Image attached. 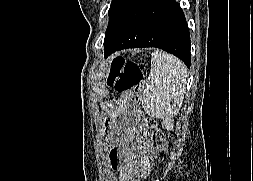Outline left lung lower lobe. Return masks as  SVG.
Segmentation results:
<instances>
[{
  "label": "left lung lower lobe",
  "instance_id": "1",
  "mask_svg": "<svg viewBox=\"0 0 253 181\" xmlns=\"http://www.w3.org/2000/svg\"><path fill=\"white\" fill-rule=\"evenodd\" d=\"M141 47L163 49L190 67V35L175 0H132L105 35V56Z\"/></svg>",
  "mask_w": 253,
  "mask_h": 181
}]
</instances>
